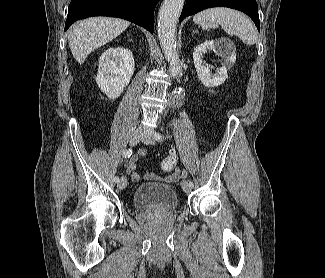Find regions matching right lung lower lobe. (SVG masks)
Here are the masks:
<instances>
[{
    "instance_id": "right-lung-lower-lobe-1",
    "label": "right lung lower lobe",
    "mask_w": 325,
    "mask_h": 278,
    "mask_svg": "<svg viewBox=\"0 0 325 278\" xmlns=\"http://www.w3.org/2000/svg\"><path fill=\"white\" fill-rule=\"evenodd\" d=\"M159 0H72L65 31L75 21L91 16H112L129 20L154 32V9Z\"/></svg>"
}]
</instances>
